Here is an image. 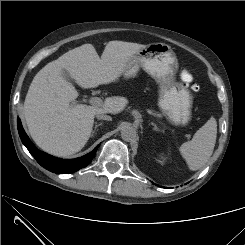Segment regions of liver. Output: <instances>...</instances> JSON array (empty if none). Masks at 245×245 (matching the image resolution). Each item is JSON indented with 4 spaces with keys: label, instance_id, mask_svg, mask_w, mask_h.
<instances>
[{
    "label": "liver",
    "instance_id": "1",
    "mask_svg": "<svg viewBox=\"0 0 245 245\" xmlns=\"http://www.w3.org/2000/svg\"><path fill=\"white\" fill-rule=\"evenodd\" d=\"M144 46L109 41L99 58L92 44H83L45 65L33 78L23 108L35 143L59 157L79 152L91 136L96 113L118 114L128 100L114 96L106 98L101 107L76 104L78 92L62 71H68L83 89L116 82L130 58Z\"/></svg>",
    "mask_w": 245,
    "mask_h": 245
}]
</instances>
